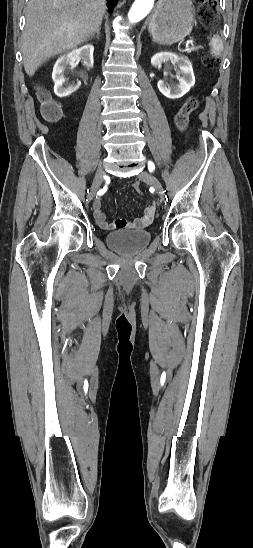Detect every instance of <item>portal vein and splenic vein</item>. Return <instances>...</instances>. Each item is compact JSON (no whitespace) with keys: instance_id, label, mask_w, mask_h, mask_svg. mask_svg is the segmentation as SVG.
<instances>
[{"instance_id":"18ae733b","label":"portal vein and splenic vein","mask_w":253,"mask_h":548,"mask_svg":"<svg viewBox=\"0 0 253 548\" xmlns=\"http://www.w3.org/2000/svg\"><path fill=\"white\" fill-rule=\"evenodd\" d=\"M186 48H187V51H190V50H196L197 47L193 44L189 45V44H186Z\"/></svg>"}]
</instances>
